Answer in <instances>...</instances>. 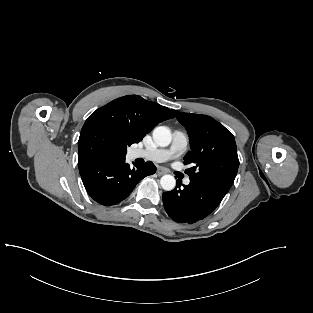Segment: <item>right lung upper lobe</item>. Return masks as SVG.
Masks as SVG:
<instances>
[{
    "instance_id": "right-lung-upper-lobe-1",
    "label": "right lung upper lobe",
    "mask_w": 313,
    "mask_h": 313,
    "mask_svg": "<svg viewBox=\"0 0 313 313\" xmlns=\"http://www.w3.org/2000/svg\"><path fill=\"white\" fill-rule=\"evenodd\" d=\"M173 112L137 95H127L97 109L84 123L78 141V165L125 159L127 146L140 142Z\"/></svg>"
}]
</instances>
